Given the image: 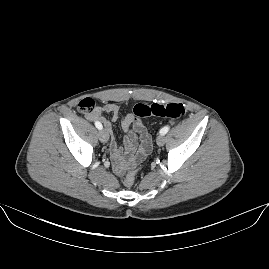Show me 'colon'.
Wrapping results in <instances>:
<instances>
[{"label":"colon","instance_id":"5ec220e1","mask_svg":"<svg viewBox=\"0 0 269 269\" xmlns=\"http://www.w3.org/2000/svg\"><path fill=\"white\" fill-rule=\"evenodd\" d=\"M78 108L82 112H93L96 109V105L93 100L85 98L79 102ZM132 115L136 118L158 117L163 119H179L186 115V108L181 103H138L133 107ZM137 129L138 131H142V128L139 126H137ZM143 135L142 142L144 150L145 152H149L152 145L151 138L146 133ZM137 172V169L128 167L120 176L121 183L127 187L131 186L135 181Z\"/></svg>","mask_w":269,"mask_h":269}]
</instances>
